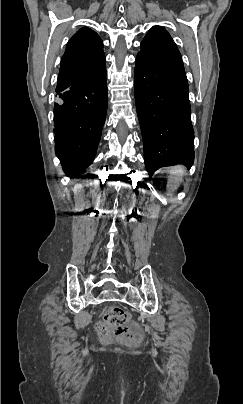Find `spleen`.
<instances>
[{"label": "spleen", "mask_w": 243, "mask_h": 404, "mask_svg": "<svg viewBox=\"0 0 243 404\" xmlns=\"http://www.w3.org/2000/svg\"><path fill=\"white\" fill-rule=\"evenodd\" d=\"M171 174H173V176H183L184 168H182V166H177V168L171 170Z\"/></svg>", "instance_id": "spleen-1"}]
</instances>
